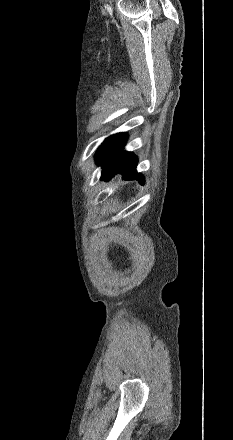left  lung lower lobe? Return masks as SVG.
Returning a JSON list of instances; mask_svg holds the SVG:
<instances>
[{
    "mask_svg": "<svg viewBox=\"0 0 233 440\" xmlns=\"http://www.w3.org/2000/svg\"><path fill=\"white\" fill-rule=\"evenodd\" d=\"M126 140L125 133L114 134L106 138L98 148L95 159L97 164L103 166L102 179L109 180L119 172L127 179H137L143 184L144 179L136 172L137 157L123 151Z\"/></svg>",
    "mask_w": 233,
    "mask_h": 440,
    "instance_id": "1",
    "label": "left lung lower lobe"
}]
</instances>
